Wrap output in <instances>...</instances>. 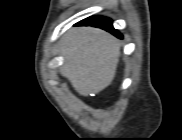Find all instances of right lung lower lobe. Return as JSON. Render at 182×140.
<instances>
[{
  "instance_id": "1",
  "label": "right lung lower lobe",
  "mask_w": 182,
  "mask_h": 140,
  "mask_svg": "<svg viewBox=\"0 0 182 140\" xmlns=\"http://www.w3.org/2000/svg\"><path fill=\"white\" fill-rule=\"evenodd\" d=\"M76 25L99 27L106 31L111 32L118 38H122V35L113 28L112 21L103 16H92V17L86 18V19L78 22Z\"/></svg>"
}]
</instances>
